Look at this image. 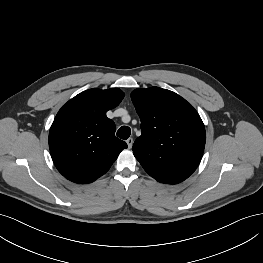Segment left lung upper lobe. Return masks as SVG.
Segmentation results:
<instances>
[{
	"instance_id": "obj_1",
	"label": "left lung upper lobe",
	"mask_w": 263,
	"mask_h": 263,
	"mask_svg": "<svg viewBox=\"0 0 263 263\" xmlns=\"http://www.w3.org/2000/svg\"><path fill=\"white\" fill-rule=\"evenodd\" d=\"M131 99L142 129L132 150L144 170L153 178L167 167L191 175L206 141L197 111L178 94L159 87L136 89Z\"/></svg>"
}]
</instances>
